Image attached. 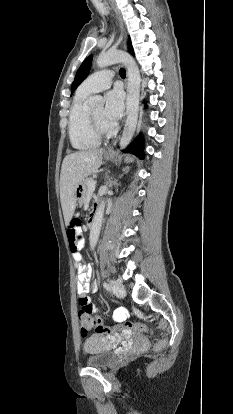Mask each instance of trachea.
Segmentation results:
<instances>
[{"instance_id":"3493384b","label":"trachea","mask_w":233,"mask_h":414,"mask_svg":"<svg viewBox=\"0 0 233 414\" xmlns=\"http://www.w3.org/2000/svg\"><path fill=\"white\" fill-rule=\"evenodd\" d=\"M119 74H120L121 78H125L126 77V71H125V69L124 68H121L120 71H119Z\"/></svg>"}]
</instances>
